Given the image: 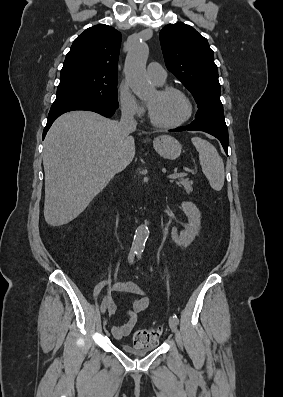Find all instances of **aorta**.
Listing matches in <instances>:
<instances>
[{
  "instance_id": "obj_1",
  "label": "aorta",
  "mask_w": 283,
  "mask_h": 397,
  "mask_svg": "<svg viewBox=\"0 0 283 397\" xmlns=\"http://www.w3.org/2000/svg\"><path fill=\"white\" fill-rule=\"evenodd\" d=\"M149 54L145 43H136L130 49L125 61V76L132 91L139 97L144 98L153 91V86L146 76V62ZM149 236L147 224H141L135 231L132 249L141 251Z\"/></svg>"
}]
</instances>
